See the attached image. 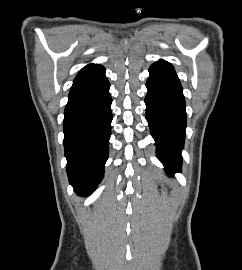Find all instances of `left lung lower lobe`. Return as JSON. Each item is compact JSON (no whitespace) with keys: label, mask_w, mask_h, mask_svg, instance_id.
I'll return each instance as SVG.
<instances>
[{"label":"left lung lower lobe","mask_w":242,"mask_h":270,"mask_svg":"<svg viewBox=\"0 0 242 270\" xmlns=\"http://www.w3.org/2000/svg\"><path fill=\"white\" fill-rule=\"evenodd\" d=\"M146 119L156 141L157 157L172 174L181 170L186 128L185 99L171 64L160 60L149 69Z\"/></svg>","instance_id":"obj_1"}]
</instances>
